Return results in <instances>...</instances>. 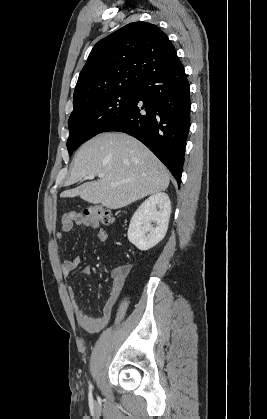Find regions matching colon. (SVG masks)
Instances as JSON below:
<instances>
[{
  "instance_id": "5ec220e1",
  "label": "colon",
  "mask_w": 267,
  "mask_h": 419,
  "mask_svg": "<svg viewBox=\"0 0 267 419\" xmlns=\"http://www.w3.org/2000/svg\"><path fill=\"white\" fill-rule=\"evenodd\" d=\"M81 214L103 225H110L115 221V215L101 206H89ZM118 270L122 272L125 270V267H121Z\"/></svg>"
}]
</instances>
